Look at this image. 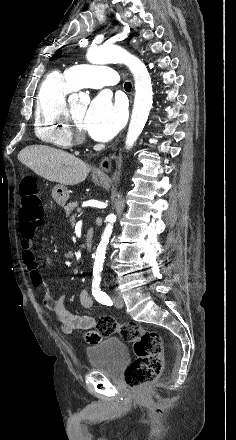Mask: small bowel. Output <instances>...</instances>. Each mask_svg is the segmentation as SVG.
Here are the masks:
<instances>
[{"label": "small bowel", "mask_w": 236, "mask_h": 440, "mask_svg": "<svg viewBox=\"0 0 236 440\" xmlns=\"http://www.w3.org/2000/svg\"><path fill=\"white\" fill-rule=\"evenodd\" d=\"M21 247L22 258L29 271L32 284L35 288L43 292V303L49 310L56 314L60 323L61 332L65 335H70L72 333L76 336L81 335L83 339H100L102 337V332L100 330H93L96 325V319L94 316L87 314H73L65 308V295H62L59 298H54L50 294L39 271L31 239L28 237L22 239ZM79 299L84 308L90 309L92 307V300L87 288H83L80 291Z\"/></svg>", "instance_id": "obj_1"}]
</instances>
